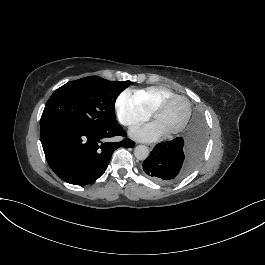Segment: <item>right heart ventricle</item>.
Instances as JSON below:
<instances>
[{"mask_svg": "<svg viewBox=\"0 0 265 265\" xmlns=\"http://www.w3.org/2000/svg\"><path fill=\"white\" fill-rule=\"evenodd\" d=\"M137 97L145 107L152 112L155 104L162 98L173 94L172 91L164 86H152L141 90L134 91Z\"/></svg>", "mask_w": 265, "mask_h": 265, "instance_id": "e07e8e85", "label": "right heart ventricle"}]
</instances>
